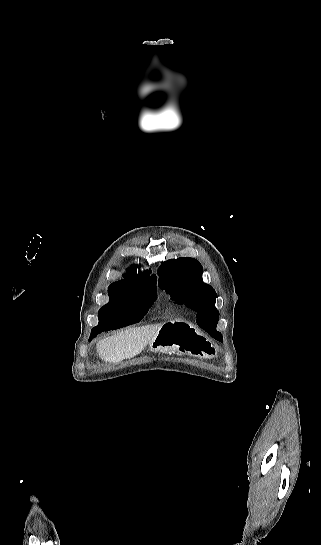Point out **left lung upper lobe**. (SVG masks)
I'll return each mask as SVG.
<instances>
[{
  "instance_id": "obj_1",
  "label": "left lung upper lobe",
  "mask_w": 321,
  "mask_h": 545,
  "mask_svg": "<svg viewBox=\"0 0 321 545\" xmlns=\"http://www.w3.org/2000/svg\"><path fill=\"white\" fill-rule=\"evenodd\" d=\"M158 274L159 288L164 289L173 300L197 311V324L201 328L216 332L211 325L219 319L215 308L216 293L203 282L201 264L193 258L168 260L162 264Z\"/></svg>"
}]
</instances>
